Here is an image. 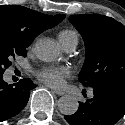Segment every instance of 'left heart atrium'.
Instances as JSON below:
<instances>
[{"label":"left heart atrium","mask_w":125,"mask_h":125,"mask_svg":"<svg viewBox=\"0 0 125 125\" xmlns=\"http://www.w3.org/2000/svg\"><path fill=\"white\" fill-rule=\"evenodd\" d=\"M70 73V68L67 66L47 65L40 68L36 76L50 87H61Z\"/></svg>","instance_id":"obj_1"}]
</instances>
